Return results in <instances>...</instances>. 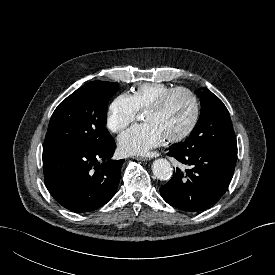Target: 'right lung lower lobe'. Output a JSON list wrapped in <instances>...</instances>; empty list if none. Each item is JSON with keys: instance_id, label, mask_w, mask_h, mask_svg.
<instances>
[{"instance_id": "1", "label": "right lung lower lobe", "mask_w": 275, "mask_h": 275, "mask_svg": "<svg viewBox=\"0 0 275 275\" xmlns=\"http://www.w3.org/2000/svg\"><path fill=\"white\" fill-rule=\"evenodd\" d=\"M112 138L100 148H43L45 185L66 209L81 213L96 210L115 194L124 160H112Z\"/></svg>"}]
</instances>
